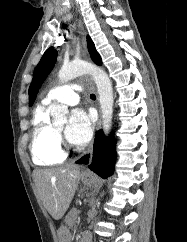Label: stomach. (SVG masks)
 <instances>
[{
  "mask_svg": "<svg viewBox=\"0 0 187 242\" xmlns=\"http://www.w3.org/2000/svg\"><path fill=\"white\" fill-rule=\"evenodd\" d=\"M80 179L83 184L87 187H97L99 185L98 179L93 174H81ZM71 232L66 225H61L58 229V240L59 242H71Z\"/></svg>",
  "mask_w": 187,
  "mask_h": 242,
  "instance_id": "stomach-1",
  "label": "stomach"
}]
</instances>
